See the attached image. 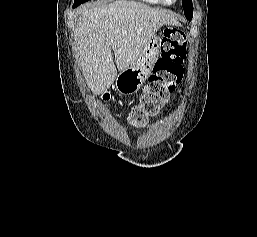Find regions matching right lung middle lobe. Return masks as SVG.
<instances>
[{
	"instance_id": "obj_1",
	"label": "right lung middle lobe",
	"mask_w": 257,
	"mask_h": 237,
	"mask_svg": "<svg viewBox=\"0 0 257 237\" xmlns=\"http://www.w3.org/2000/svg\"><path fill=\"white\" fill-rule=\"evenodd\" d=\"M89 0H75L74 1V4H73V7H77L78 5L84 3V2H87Z\"/></svg>"
}]
</instances>
